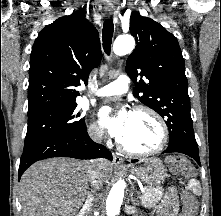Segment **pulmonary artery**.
Returning a JSON list of instances; mask_svg holds the SVG:
<instances>
[{
	"label": "pulmonary artery",
	"mask_w": 221,
	"mask_h": 216,
	"mask_svg": "<svg viewBox=\"0 0 221 216\" xmlns=\"http://www.w3.org/2000/svg\"><path fill=\"white\" fill-rule=\"evenodd\" d=\"M130 80L127 75H119L113 82L101 87L96 96L104 97L124 94L129 90Z\"/></svg>",
	"instance_id": "obj_1"
}]
</instances>
